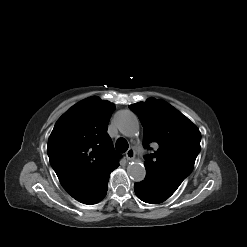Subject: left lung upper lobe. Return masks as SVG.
Instances as JSON below:
<instances>
[{
    "label": "left lung upper lobe",
    "instance_id": "1",
    "mask_svg": "<svg viewBox=\"0 0 247 247\" xmlns=\"http://www.w3.org/2000/svg\"><path fill=\"white\" fill-rule=\"evenodd\" d=\"M144 128L143 146L158 147L145 156L146 175L174 193L191 173L200 152L199 129L170 104L150 98L129 106Z\"/></svg>",
    "mask_w": 247,
    "mask_h": 247
}]
</instances>
